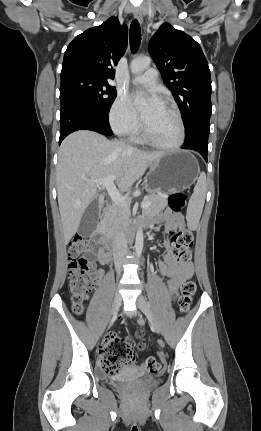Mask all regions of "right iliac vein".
Instances as JSON below:
<instances>
[{
    "mask_svg": "<svg viewBox=\"0 0 261 431\" xmlns=\"http://www.w3.org/2000/svg\"><path fill=\"white\" fill-rule=\"evenodd\" d=\"M120 305H121V295L117 291L115 293L114 301H113V304H112V309H111V314H110V320L114 319L117 316L119 308H120Z\"/></svg>",
    "mask_w": 261,
    "mask_h": 431,
    "instance_id": "right-iliac-vein-1",
    "label": "right iliac vein"
}]
</instances>
